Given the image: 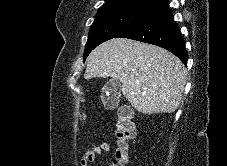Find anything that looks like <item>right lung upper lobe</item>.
<instances>
[{
	"mask_svg": "<svg viewBox=\"0 0 227 166\" xmlns=\"http://www.w3.org/2000/svg\"><path fill=\"white\" fill-rule=\"evenodd\" d=\"M167 0H106L105 3L100 7L106 8L120 4H142L160 7L165 4Z\"/></svg>",
	"mask_w": 227,
	"mask_h": 166,
	"instance_id": "right-lung-upper-lobe-1",
	"label": "right lung upper lobe"
}]
</instances>
